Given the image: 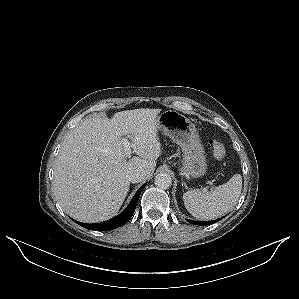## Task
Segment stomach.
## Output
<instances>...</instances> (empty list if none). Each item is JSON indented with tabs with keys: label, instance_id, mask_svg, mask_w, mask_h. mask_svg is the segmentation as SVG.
<instances>
[{
	"label": "stomach",
	"instance_id": "0dacf381",
	"mask_svg": "<svg viewBox=\"0 0 299 299\" xmlns=\"http://www.w3.org/2000/svg\"><path fill=\"white\" fill-rule=\"evenodd\" d=\"M157 131H161L183 152L181 172L191 178H199L206 173L205 150L195 125L176 110L163 111L157 117Z\"/></svg>",
	"mask_w": 299,
	"mask_h": 299
}]
</instances>
